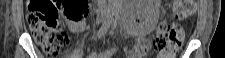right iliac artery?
<instances>
[{"label":"right iliac artery","mask_w":225,"mask_h":58,"mask_svg":"<svg viewBox=\"0 0 225 58\" xmlns=\"http://www.w3.org/2000/svg\"><path fill=\"white\" fill-rule=\"evenodd\" d=\"M112 22H113L112 16L108 15L106 17V19L104 20L102 26L100 27L98 33H97V38L98 39L102 38L107 33V31L109 30Z\"/></svg>","instance_id":"right-iliac-artery-1"}]
</instances>
